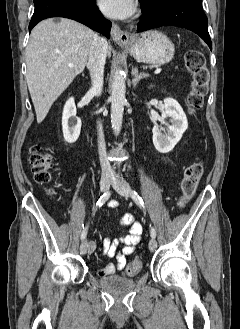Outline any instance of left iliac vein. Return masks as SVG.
<instances>
[{
	"label": "left iliac vein",
	"mask_w": 240,
	"mask_h": 329,
	"mask_svg": "<svg viewBox=\"0 0 240 329\" xmlns=\"http://www.w3.org/2000/svg\"><path fill=\"white\" fill-rule=\"evenodd\" d=\"M112 185L114 189L119 193L121 196L126 198L130 195V187L124 180H117L113 179ZM157 247V241L155 238H151L149 241V249L150 251H154Z\"/></svg>",
	"instance_id": "obj_1"
}]
</instances>
